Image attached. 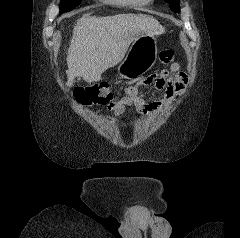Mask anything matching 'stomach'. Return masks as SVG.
Wrapping results in <instances>:
<instances>
[{
	"label": "stomach",
	"instance_id": "stomach-1",
	"mask_svg": "<svg viewBox=\"0 0 240 238\" xmlns=\"http://www.w3.org/2000/svg\"><path fill=\"white\" fill-rule=\"evenodd\" d=\"M158 55L155 35L143 34L130 46L125 58L118 66L121 77L135 79L147 72L155 64Z\"/></svg>",
	"mask_w": 240,
	"mask_h": 238
}]
</instances>
